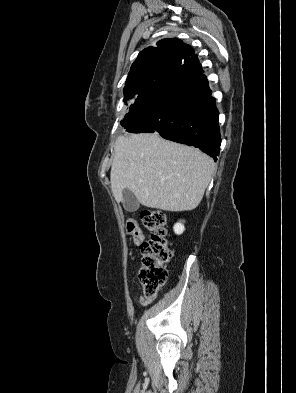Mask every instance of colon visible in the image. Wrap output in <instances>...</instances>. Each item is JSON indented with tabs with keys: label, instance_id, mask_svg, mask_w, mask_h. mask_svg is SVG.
<instances>
[{
	"label": "colon",
	"instance_id": "obj_1",
	"mask_svg": "<svg viewBox=\"0 0 296 393\" xmlns=\"http://www.w3.org/2000/svg\"><path fill=\"white\" fill-rule=\"evenodd\" d=\"M141 220L151 233L149 240H144L143 233L134 218H129L126 231L133 238L142 253L141 266L138 271L139 282L148 297L157 295L168 276L167 263L172 257L166 231V215L159 209H145Z\"/></svg>",
	"mask_w": 296,
	"mask_h": 393
}]
</instances>
